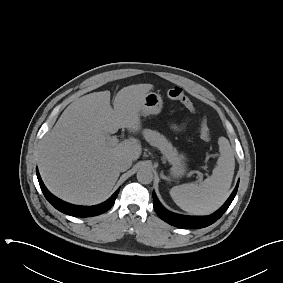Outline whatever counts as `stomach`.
I'll return each mask as SVG.
<instances>
[{"label":"stomach","instance_id":"stomach-1","mask_svg":"<svg viewBox=\"0 0 283 283\" xmlns=\"http://www.w3.org/2000/svg\"><path fill=\"white\" fill-rule=\"evenodd\" d=\"M163 107V100L161 95L155 92H149L145 95L140 107V115L148 116L150 114H159ZM185 157L180 156L173 164L171 169V176L173 178H180L186 173Z\"/></svg>","mask_w":283,"mask_h":283}]
</instances>
